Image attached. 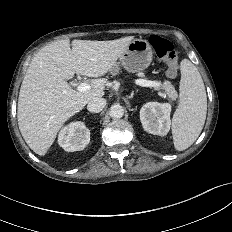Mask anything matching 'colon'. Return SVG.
I'll list each match as a JSON object with an SVG mask.
<instances>
[{
    "label": "colon",
    "instance_id": "colon-1",
    "mask_svg": "<svg viewBox=\"0 0 232 232\" xmlns=\"http://www.w3.org/2000/svg\"><path fill=\"white\" fill-rule=\"evenodd\" d=\"M150 44L157 57L167 64V75L171 78L175 77L178 74L179 66L177 51L173 44L159 35H152L150 37Z\"/></svg>",
    "mask_w": 232,
    "mask_h": 232
}]
</instances>
